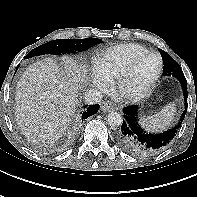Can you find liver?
<instances>
[{
	"label": "liver",
	"instance_id": "1",
	"mask_svg": "<svg viewBox=\"0 0 197 197\" xmlns=\"http://www.w3.org/2000/svg\"><path fill=\"white\" fill-rule=\"evenodd\" d=\"M63 68L52 58L31 64L16 87L15 115L22 133L37 144H53L65 132L86 82L85 65L68 56Z\"/></svg>",
	"mask_w": 197,
	"mask_h": 197
}]
</instances>
